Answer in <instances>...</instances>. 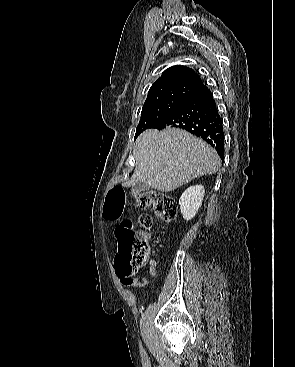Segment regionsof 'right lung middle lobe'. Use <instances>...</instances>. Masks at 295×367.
<instances>
[{
  "label": "right lung middle lobe",
  "mask_w": 295,
  "mask_h": 367,
  "mask_svg": "<svg viewBox=\"0 0 295 367\" xmlns=\"http://www.w3.org/2000/svg\"><path fill=\"white\" fill-rule=\"evenodd\" d=\"M195 91L188 88H171L149 95L143 105L135 139L144 130L154 128L175 111Z\"/></svg>",
  "instance_id": "obj_1"
}]
</instances>
